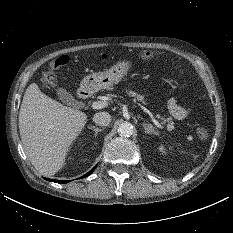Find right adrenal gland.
Segmentation results:
<instances>
[{
    "label": "right adrenal gland",
    "mask_w": 233,
    "mask_h": 233,
    "mask_svg": "<svg viewBox=\"0 0 233 233\" xmlns=\"http://www.w3.org/2000/svg\"><path fill=\"white\" fill-rule=\"evenodd\" d=\"M89 129L93 130L95 132V136L101 132L103 129L97 128L95 126H89Z\"/></svg>",
    "instance_id": "right-adrenal-gland-1"
}]
</instances>
